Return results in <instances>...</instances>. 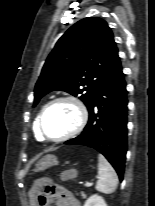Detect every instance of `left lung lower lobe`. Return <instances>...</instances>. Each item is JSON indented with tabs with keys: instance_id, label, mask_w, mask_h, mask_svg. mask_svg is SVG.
<instances>
[{
	"instance_id": "1",
	"label": "left lung lower lobe",
	"mask_w": 155,
	"mask_h": 206,
	"mask_svg": "<svg viewBox=\"0 0 155 206\" xmlns=\"http://www.w3.org/2000/svg\"><path fill=\"white\" fill-rule=\"evenodd\" d=\"M127 90L121 63L104 81L88 107L83 132L65 144L84 145L103 154L123 180L127 151Z\"/></svg>"
}]
</instances>
